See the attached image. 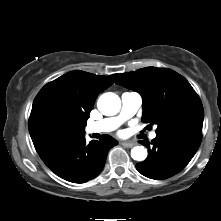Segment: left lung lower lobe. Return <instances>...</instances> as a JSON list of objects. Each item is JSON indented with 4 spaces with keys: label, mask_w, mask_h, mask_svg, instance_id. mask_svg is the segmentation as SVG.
I'll list each match as a JSON object with an SVG mask.
<instances>
[{
    "label": "left lung lower lobe",
    "mask_w": 221,
    "mask_h": 221,
    "mask_svg": "<svg viewBox=\"0 0 221 221\" xmlns=\"http://www.w3.org/2000/svg\"><path fill=\"white\" fill-rule=\"evenodd\" d=\"M202 139V130L178 128L157 136L153 146L140 141L148 147V157L137 163L136 168L142 175L156 180L169 178L180 172L196 153Z\"/></svg>",
    "instance_id": "1"
}]
</instances>
